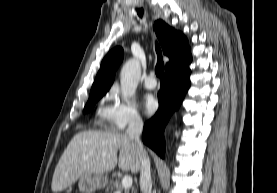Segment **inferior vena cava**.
<instances>
[{"label":"inferior vena cava","instance_id":"602c4592","mask_svg":"<svg viewBox=\"0 0 277 193\" xmlns=\"http://www.w3.org/2000/svg\"><path fill=\"white\" fill-rule=\"evenodd\" d=\"M143 130V121L140 116L133 115L130 118L129 126L126 131L128 137L135 142L139 152H140V189L142 193H151L152 181L150 173V160L143 148V144L140 141V135Z\"/></svg>","mask_w":277,"mask_h":193}]
</instances>
